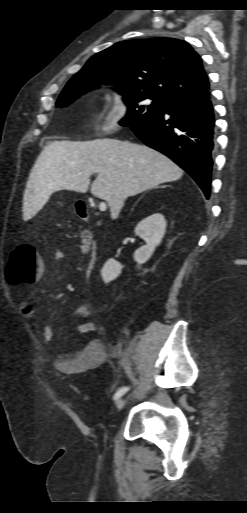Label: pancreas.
<instances>
[{
  "mask_svg": "<svg viewBox=\"0 0 247 513\" xmlns=\"http://www.w3.org/2000/svg\"><path fill=\"white\" fill-rule=\"evenodd\" d=\"M81 237H82V243H83L82 252L87 253L89 250V246L91 244L95 245V242L92 241V236H91L90 232L86 229L81 232Z\"/></svg>",
  "mask_w": 247,
  "mask_h": 513,
  "instance_id": "1",
  "label": "pancreas"
}]
</instances>
